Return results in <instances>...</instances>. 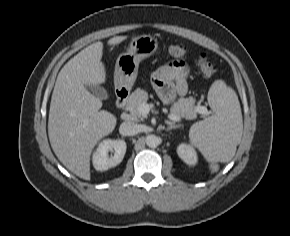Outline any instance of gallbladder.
<instances>
[{"label": "gallbladder", "mask_w": 290, "mask_h": 236, "mask_svg": "<svg viewBox=\"0 0 290 236\" xmlns=\"http://www.w3.org/2000/svg\"><path fill=\"white\" fill-rule=\"evenodd\" d=\"M86 88L100 99H106L108 96L107 91L99 85H86Z\"/></svg>", "instance_id": "obj_1"}]
</instances>
